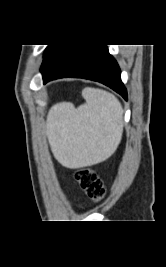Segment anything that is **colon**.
<instances>
[{"label":"colon","mask_w":166,"mask_h":267,"mask_svg":"<svg viewBox=\"0 0 166 267\" xmlns=\"http://www.w3.org/2000/svg\"><path fill=\"white\" fill-rule=\"evenodd\" d=\"M75 180L94 203L100 202L105 196V187L98 174L90 168H81L75 173Z\"/></svg>","instance_id":"5ec220e1"}]
</instances>
